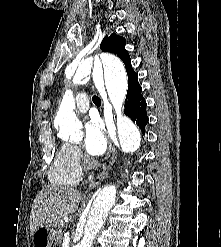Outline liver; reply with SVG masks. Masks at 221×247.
Masks as SVG:
<instances>
[{
	"label": "liver",
	"instance_id": "1",
	"mask_svg": "<svg viewBox=\"0 0 221 247\" xmlns=\"http://www.w3.org/2000/svg\"><path fill=\"white\" fill-rule=\"evenodd\" d=\"M82 192L68 187L47 185L37 195L30 214V230L47 226L78 209Z\"/></svg>",
	"mask_w": 221,
	"mask_h": 247
}]
</instances>
